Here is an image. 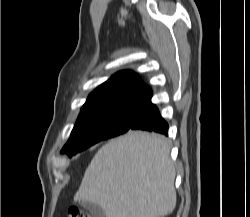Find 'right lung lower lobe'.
I'll use <instances>...</instances> for the list:
<instances>
[{
  "label": "right lung lower lobe",
  "mask_w": 250,
  "mask_h": 217,
  "mask_svg": "<svg viewBox=\"0 0 250 217\" xmlns=\"http://www.w3.org/2000/svg\"><path fill=\"white\" fill-rule=\"evenodd\" d=\"M130 130H145L164 135L168 134V124L160 116L158 108L151 102V97L141 105Z\"/></svg>",
  "instance_id": "1"
}]
</instances>
